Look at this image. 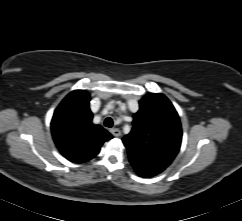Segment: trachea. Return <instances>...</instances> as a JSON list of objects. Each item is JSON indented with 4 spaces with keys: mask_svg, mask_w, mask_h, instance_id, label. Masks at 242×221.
I'll use <instances>...</instances> for the list:
<instances>
[{
    "mask_svg": "<svg viewBox=\"0 0 242 221\" xmlns=\"http://www.w3.org/2000/svg\"><path fill=\"white\" fill-rule=\"evenodd\" d=\"M104 125L106 127H109V128L112 127L113 126V120H112V118H110V117L106 118L105 121H104Z\"/></svg>",
    "mask_w": 242,
    "mask_h": 221,
    "instance_id": "1",
    "label": "trachea"
}]
</instances>
